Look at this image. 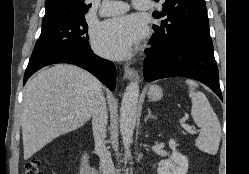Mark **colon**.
Wrapping results in <instances>:
<instances>
[{"label":"colon","instance_id":"1","mask_svg":"<svg viewBox=\"0 0 249 174\" xmlns=\"http://www.w3.org/2000/svg\"><path fill=\"white\" fill-rule=\"evenodd\" d=\"M40 160L36 157L28 160L24 167L23 174H43L40 167Z\"/></svg>","mask_w":249,"mask_h":174}]
</instances>
